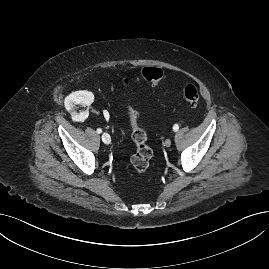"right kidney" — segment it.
<instances>
[{
  "label": "right kidney",
  "mask_w": 269,
  "mask_h": 269,
  "mask_svg": "<svg viewBox=\"0 0 269 269\" xmlns=\"http://www.w3.org/2000/svg\"><path fill=\"white\" fill-rule=\"evenodd\" d=\"M94 101V94L87 90L72 92L65 98V107L68 111H74L76 105L90 106ZM88 114L82 112L80 117L85 119Z\"/></svg>",
  "instance_id": "right-kidney-1"
}]
</instances>
